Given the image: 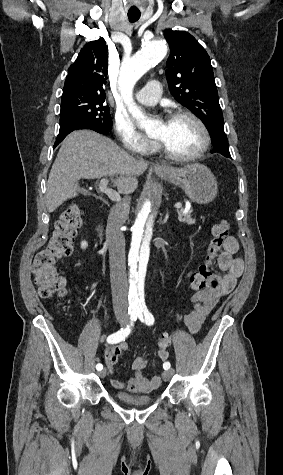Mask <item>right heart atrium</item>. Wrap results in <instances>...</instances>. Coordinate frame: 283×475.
Returning <instances> with one entry per match:
<instances>
[{
  "label": "right heart atrium",
  "instance_id": "1",
  "mask_svg": "<svg viewBox=\"0 0 283 475\" xmlns=\"http://www.w3.org/2000/svg\"><path fill=\"white\" fill-rule=\"evenodd\" d=\"M113 132L119 140L118 149L125 155L149 156L153 149V141L139 132L131 118L125 114H116L113 119Z\"/></svg>",
  "mask_w": 283,
  "mask_h": 475
}]
</instances>
